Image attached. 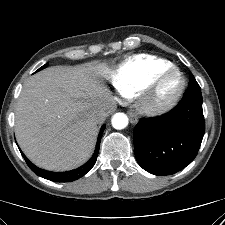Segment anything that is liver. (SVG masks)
<instances>
[{"mask_svg": "<svg viewBox=\"0 0 225 225\" xmlns=\"http://www.w3.org/2000/svg\"><path fill=\"white\" fill-rule=\"evenodd\" d=\"M104 63L52 66L29 78L15 112V134L24 154L38 167L66 171L85 163L98 134L95 114L108 100L100 77Z\"/></svg>", "mask_w": 225, "mask_h": 225, "instance_id": "1", "label": "liver"}]
</instances>
